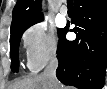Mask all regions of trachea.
Wrapping results in <instances>:
<instances>
[{
	"instance_id": "1",
	"label": "trachea",
	"mask_w": 107,
	"mask_h": 89,
	"mask_svg": "<svg viewBox=\"0 0 107 89\" xmlns=\"http://www.w3.org/2000/svg\"><path fill=\"white\" fill-rule=\"evenodd\" d=\"M68 5H73V0H67Z\"/></svg>"
}]
</instances>
